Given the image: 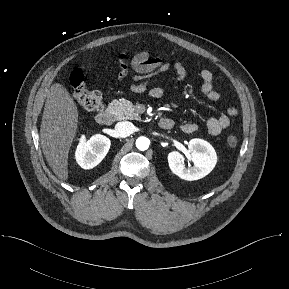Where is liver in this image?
Listing matches in <instances>:
<instances>
[{
  "label": "liver",
  "instance_id": "1",
  "mask_svg": "<svg viewBox=\"0 0 289 289\" xmlns=\"http://www.w3.org/2000/svg\"><path fill=\"white\" fill-rule=\"evenodd\" d=\"M78 109L67 89L55 83L49 89L40 126L41 147L55 175L69 177L68 154L78 129Z\"/></svg>",
  "mask_w": 289,
  "mask_h": 289
}]
</instances>
